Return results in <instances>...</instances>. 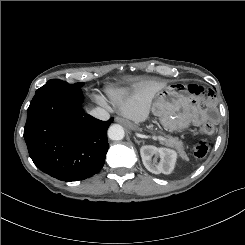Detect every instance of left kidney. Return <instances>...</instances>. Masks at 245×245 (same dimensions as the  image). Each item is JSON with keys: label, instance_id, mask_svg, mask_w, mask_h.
<instances>
[{"label": "left kidney", "instance_id": "obj_1", "mask_svg": "<svg viewBox=\"0 0 245 245\" xmlns=\"http://www.w3.org/2000/svg\"><path fill=\"white\" fill-rule=\"evenodd\" d=\"M140 154L145 168L154 174H170L174 170L177 153L172 149L146 145L141 147Z\"/></svg>", "mask_w": 245, "mask_h": 245}]
</instances>
